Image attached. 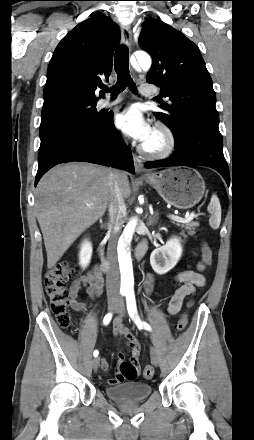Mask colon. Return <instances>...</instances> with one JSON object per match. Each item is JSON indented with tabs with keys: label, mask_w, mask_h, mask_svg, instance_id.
Masks as SVG:
<instances>
[{
	"label": "colon",
	"mask_w": 254,
	"mask_h": 440,
	"mask_svg": "<svg viewBox=\"0 0 254 440\" xmlns=\"http://www.w3.org/2000/svg\"><path fill=\"white\" fill-rule=\"evenodd\" d=\"M202 261L204 265L209 266L213 259V252L211 247L205 243H201ZM73 275V269L66 262H61L51 267L44 280L46 294L50 301V308L56 316L58 324L62 328H68L71 323V318L68 313V305L70 302V292L66 284ZM187 327V315L182 314L176 328L178 331H183ZM124 380L133 381L138 376V368L131 361H124L119 366ZM154 374L151 366L144 368V376L152 378Z\"/></svg>",
	"instance_id": "5ec220e1"
}]
</instances>
